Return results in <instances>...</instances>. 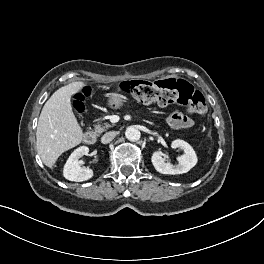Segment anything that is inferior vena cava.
<instances>
[{
  "mask_svg": "<svg viewBox=\"0 0 264 264\" xmlns=\"http://www.w3.org/2000/svg\"><path fill=\"white\" fill-rule=\"evenodd\" d=\"M116 134L117 133L115 131H110V132L105 133L101 138V142L103 144H107V143L111 142L114 139V137L116 136Z\"/></svg>",
  "mask_w": 264,
  "mask_h": 264,
  "instance_id": "inferior-vena-cava-1",
  "label": "inferior vena cava"
}]
</instances>
